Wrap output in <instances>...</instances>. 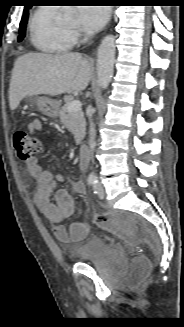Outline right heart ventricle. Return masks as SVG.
Masks as SVG:
<instances>
[{
	"instance_id": "1",
	"label": "right heart ventricle",
	"mask_w": 184,
	"mask_h": 327,
	"mask_svg": "<svg viewBox=\"0 0 184 327\" xmlns=\"http://www.w3.org/2000/svg\"><path fill=\"white\" fill-rule=\"evenodd\" d=\"M55 7H39L29 20V38L32 45L46 53H61L70 50L75 39L72 32L61 26Z\"/></svg>"
}]
</instances>
